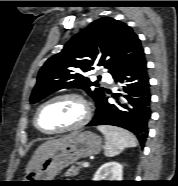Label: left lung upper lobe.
<instances>
[{
	"instance_id": "left-lung-upper-lobe-1",
	"label": "left lung upper lobe",
	"mask_w": 178,
	"mask_h": 186,
	"mask_svg": "<svg viewBox=\"0 0 178 186\" xmlns=\"http://www.w3.org/2000/svg\"><path fill=\"white\" fill-rule=\"evenodd\" d=\"M144 55L138 36L125 23L110 17L92 22L49 58L38 73L30 102H39L63 88H82L98 107L106 93L84 76L93 65L104 66L114 76ZM95 87V88H94Z\"/></svg>"
}]
</instances>
